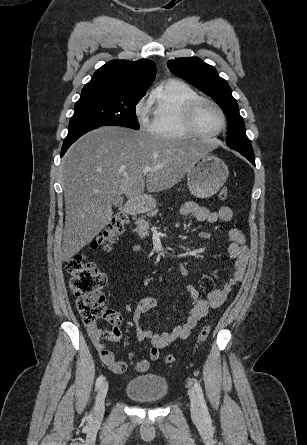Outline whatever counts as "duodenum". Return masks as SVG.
<instances>
[{
    "label": "duodenum",
    "instance_id": "obj_1",
    "mask_svg": "<svg viewBox=\"0 0 307 445\" xmlns=\"http://www.w3.org/2000/svg\"><path fill=\"white\" fill-rule=\"evenodd\" d=\"M147 201H148V198L146 196L136 197V198L128 201L127 204L125 205L124 209L129 215H132V216L137 215L143 210Z\"/></svg>",
    "mask_w": 307,
    "mask_h": 445
}]
</instances>
